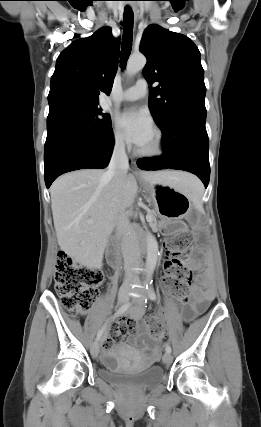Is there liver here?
I'll return each mask as SVG.
<instances>
[{"mask_svg": "<svg viewBox=\"0 0 261 427\" xmlns=\"http://www.w3.org/2000/svg\"><path fill=\"white\" fill-rule=\"evenodd\" d=\"M101 169H82L64 174L51 186V208L60 249L86 266L102 263L103 254L120 212L131 206L138 186L126 174L121 184ZM144 182L164 184L187 193L195 177L178 171L140 172ZM93 221V223H89Z\"/></svg>", "mask_w": 261, "mask_h": 427, "instance_id": "1", "label": "liver"}]
</instances>
